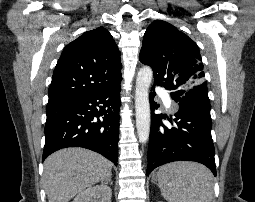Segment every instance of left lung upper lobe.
Wrapping results in <instances>:
<instances>
[{"instance_id": "obj_1", "label": "left lung upper lobe", "mask_w": 255, "mask_h": 202, "mask_svg": "<svg viewBox=\"0 0 255 202\" xmlns=\"http://www.w3.org/2000/svg\"><path fill=\"white\" fill-rule=\"evenodd\" d=\"M139 59L153 69L154 82L178 104L210 110L198 46L173 25L154 21L146 30Z\"/></svg>"}]
</instances>
